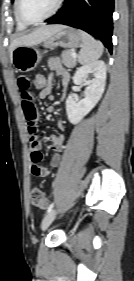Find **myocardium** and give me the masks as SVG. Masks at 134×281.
I'll return each instance as SVG.
<instances>
[{
	"label": "myocardium",
	"mask_w": 134,
	"mask_h": 281,
	"mask_svg": "<svg viewBox=\"0 0 134 281\" xmlns=\"http://www.w3.org/2000/svg\"><path fill=\"white\" fill-rule=\"evenodd\" d=\"M65 0H58L56 6L54 7V9L47 14L46 16H44L43 18H40L38 20H29L27 19L22 11H21V3L22 0H16V4H15V10H16V15L18 17V19L25 25L29 26V25H38L41 24L45 21H47L48 19L52 18L53 16H55L59 10L62 8L63 4H64Z\"/></svg>",
	"instance_id": "obj_1"
}]
</instances>
